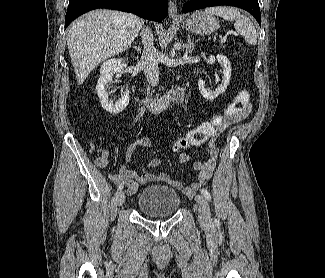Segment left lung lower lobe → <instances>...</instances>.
I'll use <instances>...</instances> for the list:
<instances>
[{
	"label": "left lung lower lobe",
	"instance_id": "1",
	"mask_svg": "<svg viewBox=\"0 0 325 278\" xmlns=\"http://www.w3.org/2000/svg\"><path fill=\"white\" fill-rule=\"evenodd\" d=\"M228 5L250 12L261 26V13L258 0H193L183 5L184 12H191L205 7Z\"/></svg>",
	"mask_w": 325,
	"mask_h": 278
}]
</instances>
